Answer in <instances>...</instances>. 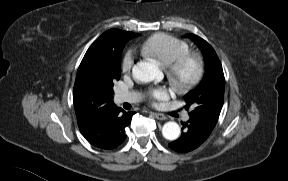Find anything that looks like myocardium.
<instances>
[{
	"mask_svg": "<svg viewBox=\"0 0 288 181\" xmlns=\"http://www.w3.org/2000/svg\"><path fill=\"white\" fill-rule=\"evenodd\" d=\"M192 66V73L184 75L187 66ZM204 61L196 53H186L167 66V76L172 84L180 91H186L196 86L204 75Z\"/></svg>",
	"mask_w": 288,
	"mask_h": 181,
	"instance_id": "obj_1",
	"label": "myocardium"
}]
</instances>
